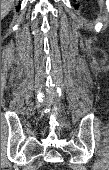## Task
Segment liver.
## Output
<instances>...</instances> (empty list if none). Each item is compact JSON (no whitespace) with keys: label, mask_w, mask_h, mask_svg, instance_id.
<instances>
[{"label":"liver","mask_w":109,"mask_h":170,"mask_svg":"<svg viewBox=\"0 0 109 170\" xmlns=\"http://www.w3.org/2000/svg\"><path fill=\"white\" fill-rule=\"evenodd\" d=\"M15 0H1V16L4 18L10 11Z\"/></svg>","instance_id":"6515ba94"}]
</instances>
